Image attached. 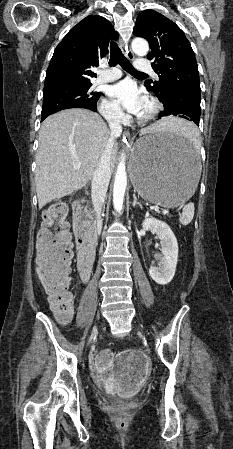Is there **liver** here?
I'll use <instances>...</instances> for the list:
<instances>
[{
    "mask_svg": "<svg viewBox=\"0 0 233 449\" xmlns=\"http://www.w3.org/2000/svg\"><path fill=\"white\" fill-rule=\"evenodd\" d=\"M181 120L163 118L142 129L140 135L159 129L172 130ZM110 137L103 119L86 109H67L47 117L39 131L35 183L38 206L72 194L93 177ZM118 144L114 142L110 168L114 167ZM81 163L75 169L74 164Z\"/></svg>",
    "mask_w": 233,
    "mask_h": 449,
    "instance_id": "1",
    "label": "liver"
}]
</instances>
